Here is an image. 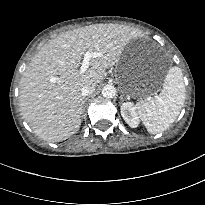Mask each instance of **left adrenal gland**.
<instances>
[{"label":"left adrenal gland","instance_id":"left-adrenal-gland-1","mask_svg":"<svg viewBox=\"0 0 205 205\" xmlns=\"http://www.w3.org/2000/svg\"><path fill=\"white\" fill-rule=\"evenodd\" d=\"M124 99V94L120 96V101H123Z\"/></svg>","mask_w":205,"mask_h":205}]
</instances>
